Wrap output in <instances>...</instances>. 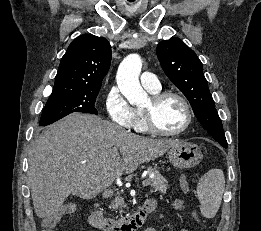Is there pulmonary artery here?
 Listing matches in <instances>:
<instances>
[{"label": "pulmonary artery", "instance_id": "e3ab8cb5", "mask_svg": "<svg viewBox=\"0 0 261 231\" xmlns=\"http://www.w3.org/2000/svg\"><path fill=\"white\" fill-rule=\"evenodd\" d=\"M141 83L143 87H145L147 90H160V83L156 75L150 71H144L141 74Z\"/></svg>", "mask_w": 261, "mask_h": 231}]
</instances>
